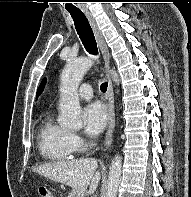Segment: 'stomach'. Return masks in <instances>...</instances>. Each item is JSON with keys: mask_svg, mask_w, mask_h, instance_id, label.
Instances as JSON below:
<instances>
[{"mask_svg": "<svg viewBox=\"0 0 191 197\" xmlns=\"http://www.w3.org/2000/svg\"><path fill=\"white\" fill-rule=\"evenodd\" d=\"M68 197H84V194L81 193L78 190L73 189L70 193Z\"/></svg>", "mask_w": 191, "mask_h": 197, "instance_id": "stomach-1", "label": "stomach"}]
</instances>
